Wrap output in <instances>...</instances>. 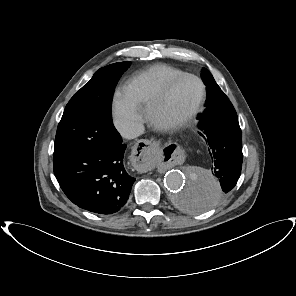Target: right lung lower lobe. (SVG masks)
I'll return each mask as SVG.
<instances>
[{"label": "right lung lower lobe", "instance_id": "obj_1", "mask_svg": "<svg viewBox=\"0 0 296 296\" xmlns=\"http://www.w3.org/2000/svg\"><path fill=\"white\" fill-rule=\"evenodd\" d=\"M85 149L54 157V174L65 195L78 207L113 214L126 203L135 178L123 165L126 145Z\"/></svg>", "mask_w": 296, "mask_h": 296}]
</instances>
